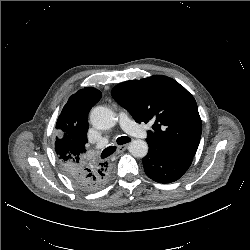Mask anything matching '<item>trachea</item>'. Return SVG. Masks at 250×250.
Masks as SVG:
<instances>
[{
	"mask_svg": "<svg viewBox=\"0 0 250 250\" xmlns=\"http://www.w3.org/2000/svg\"><path fill=\"white\" fill-rule=\"evenodd\" d=\"M131 139L127 136H121L119 138H117L116 142L118 145H123L125 143L130 142ZM116 151V146H109L107 148H105L102 153H101V158H107L110 155H112L114 152Z\"/></svg>",
	"mask_w": 250,
	"mask_h": 250,
	"instance_id": "3493384b",
	"label": "trachea"
}]
</instances>
